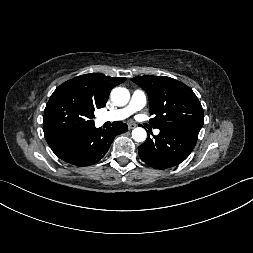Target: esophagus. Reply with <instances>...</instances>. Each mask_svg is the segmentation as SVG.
Wrapping results in <instances>:
<instances>
[{
    "instance_id": "obj_1",
    "label": "esophagus",
    "mask_w": 253,
    "mask_h": 253,
    "mask_svg": "<svg viewBox=\"0 0 253 253\" xmlns=\"http://www.w3.org/2000/svg\"><path fill=\"white\" fill-rule=\"evenodd\" d=\"M137 125L134 124V123H129L128 124V128L131 130V129H134Z\"/></svg>"
}]
</instances>
